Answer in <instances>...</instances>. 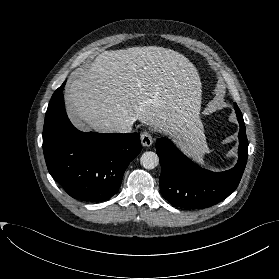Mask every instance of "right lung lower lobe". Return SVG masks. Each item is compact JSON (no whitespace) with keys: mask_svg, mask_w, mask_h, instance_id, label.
Wrapping results in <instances>:
<instances>
[{"mask_svg":"<svg viewBox=\"0 0 279 279\" xmlns=\"http://www.w3.org/2000/svg\"><path fill=\"white\" fill-rule=\"evenodd\" d=\"M64 85L54 92L45 115L43 152L48 171L71 197L106 201L117 193L128 164L140 153V135L77 130L65 112Z\"/></svg>","mask_w":279,"mask_h":279,"instance_id":"1","label":"right lung lower lobe"}]
</instances>
